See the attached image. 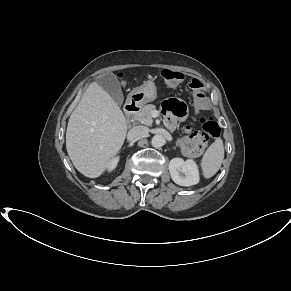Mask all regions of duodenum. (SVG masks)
Segmentation results:
<instances>
[{
  "label": "duodenum",
  "mask_w": 291,
  "mask_h": 291,
  "mask_svg": "<svg viewBox=\"0 0 291 291\" xmlns=\"http://www.w3.org/2000/svg\"><path fill=\"white\" fill-rule=\"evenodd\" d=\"M139 111V106L134 101H130L125 105L124 113L127 120H131Z\"/></svg>",
  "instance_id": "duodenum-1"
}]
</instances>
